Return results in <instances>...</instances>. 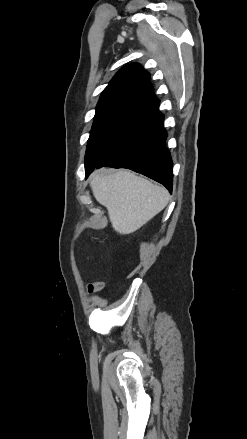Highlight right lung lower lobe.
Returning a JSON list of instances; mask_svg holds the SVG:
<instances>
[{
  "label": "right lung lower lobe",
  "mask_w": 247,
  "mask_h": 439,
  "mask_svg": "<svg viewBox=\"0 0 247 439\" xmlns=\"http://www.w3.org/2000/svg\"><path fill=\"white\" fill-rule=\"evenodd\" d=\"M163 121L162 113L155 114L143 128L97 164L85 166L86 176L102 166L128 168L163 184L171 192L173 163L165 147L167 133Z\"/></svg>",
  "instance_id": "obj_1"
}]
</instances>
